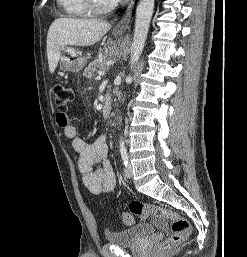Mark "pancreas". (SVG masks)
I'll return each instance as SVG.
<instances>
[{
  "mask_svg": "<svg viewBox=\"0 0 247 257\" xmlns=\"http://www.w3.org/2000/svg\"><path fill=\"white\" fill-rule=\"evenodd\" d=\"M98 68H100V69L106 68L104 58H102L101 60L97 59V60L90 62L89 65L84 69L83 76L86 78H91L92 75L94 74V72Z\"/></svg>",
  "mask_w": 247,
  "mask_h": 257,
  "instance_id": "pancreas-1",
  "label": "pancreas"
}]
</instances>
